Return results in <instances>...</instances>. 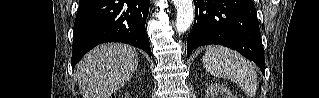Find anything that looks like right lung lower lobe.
<instances>
[{
  "mask_svg": "<svg viewBox=\"0 0 319 98\" xmlns=\"http://www.w3.org/2000/svg\"><path fill=\"white\" fill-rule=\"evenodd\" d=\"M73 34L72 67L96 45L123 42L151 56L145 29L149 0H80Z\"/></svg>",
  "mask_w": 319,
  "mask_h": 98,
  "instance_id": "obj_1",
  "label": "right lung lower lobe"
}]
</instances>
